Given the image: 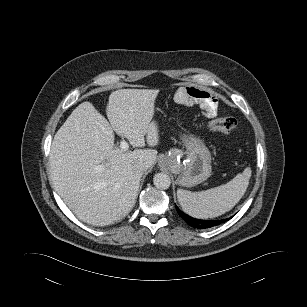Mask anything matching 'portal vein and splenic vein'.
Instances as JSON below:
<instances>
[{
	"label": "portal vein and splenic vein",
	"instance_id": "portal-vein-and-splenic-vein-1",
	"mask_svg": "<svg viewBox=\"0 0 307 307\" xmlns=\"http://www.w3.org/2000/svg\"><path fill=\"white\" fill-rule=\"evenodd\" d=\"M120 148H121V150H123V151L128 150V148H129L128 142H127L126 140L123 139V140L120 142ZM103 168H104L103 165H99V166L97 167L98 170H102Z\"/></svg>",
	"mask_w": 307,
	"mask_h": 307
}]
</instances>
